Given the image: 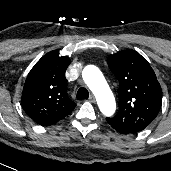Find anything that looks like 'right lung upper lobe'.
Wrapping results in <instances>:
<instances>
[{
  "label": "right lung upper lobe",
  "instance_id": "1",
  "mask_svg": "<svg viewBox=\"0 0 171 171\" xmlns=\"http://www.w3.org/2000/svg\"><path fill=\"white\" fill-rule=\"evenodd\" d=\"M68 56L54 50L44 55L29 72L22 93V107L27 115L41 126L62 120L76 104L67 94L65 71Z\"/></svg>",
  "mask_w": 171,
  "mask_h": 171
}]
</instances>
